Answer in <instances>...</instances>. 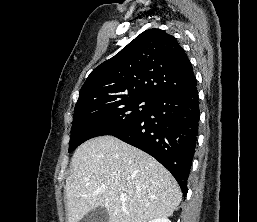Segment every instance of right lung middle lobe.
Returning <instances> with one entry per match:
<instances>
[{
    "label": "right lung middle lobe",
    "mask_w": 257,
    "mask_h": 222,
    "mask_svg": "<svg viewBox=\"0 0 257 222\" xmlns=\"http://www.w3.org/2000/svg\"><path fill=\"white\" fill-rule=\"evenodd\" d=\"M156 99L147 96L95 97L77 104L74 110L69 152L93 137L113 135L150 113Z\"/></svg>",
    "instance_id": "dd1d6c3e"
}]
</instances>
